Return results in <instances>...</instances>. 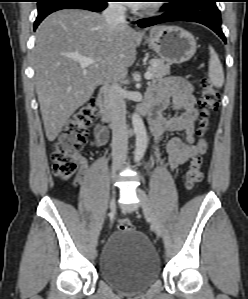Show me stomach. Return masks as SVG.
<instances>
[{"label":"stomach","mask_w":248,"mask_h":299,"mask_svg":"<svg viewBox=\"0 0 248 299\" xmlns=\"http://www.w3.org/2000/svg\"><path fill=\"white\" fill-rule=\"evenodd\" d=\"M148 45L169 64H181L193 57L196 40L187 30L178 26H162L146 39Z\"/></svg>","instance_id":"stomach-1"}]
</instances>
